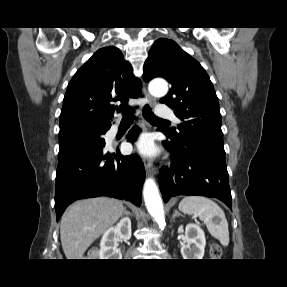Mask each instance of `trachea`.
<instances>
[{"mask_svg": "<svg viewBox=\"0 0 287 287\" xmlns=\"http://www.w3.org/2000/svg\"><path fill=\"white\" fill-rule=\"evenodd\" d=\"M143 116L150 123L169 122L168 120H164V119L156 117L154 115V113L152 112V109L150 108L149 105L144 106ZM133 119H134V115H133L132 111H123V120L131 121Z\"/></svg>", "mask_w": 287, "mask_h": 287, "instance_id": "1", "label": "trachea"}]
</instances>
